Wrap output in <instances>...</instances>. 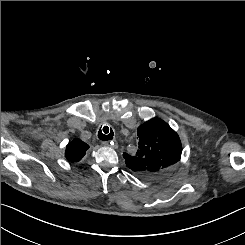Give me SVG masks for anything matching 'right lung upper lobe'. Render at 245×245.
<instances>
[{
	"instance_id": "right-lung-upper-lobe-1",
	"label": "right lung upper lobe",
	"mask_w": 245,
	"mask_h": 245,
	"mask_svg": "<svg viewBox=\"0 0 245 245\" xmlns=\"http://www.w3.org/2000/svg\"><path fill=\"white\" fill-rule=\"evenodd\" d=\"M89 149V145L80 139H74L71 141L65 151L66 159L72 163L79 162Z\"/></svg>"
}]
</instances>
